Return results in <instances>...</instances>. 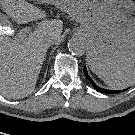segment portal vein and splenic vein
I'll return each instance as SVG.
<instances>
[{
	"instance_id": "obj_1",
	"label": "portal vein and splenic vein",
	"mask_w": 135,
	"mask_h": 135,
	"mask_svg": "<svg viewBox=\"0 0 135 135\" xmlns=\"http://www.w3.org/2000/svg\"><path fill=\"white\" fill-rule=\"evenodd\" d=\"M30 30H31L30 27L20 30V32L17 35V38H20V39L25 38ZM0 34L11 35L13 34V30L9 27H5V28L3 27L0 29Z\"/></svg>"
}]
</instances>
